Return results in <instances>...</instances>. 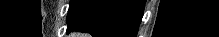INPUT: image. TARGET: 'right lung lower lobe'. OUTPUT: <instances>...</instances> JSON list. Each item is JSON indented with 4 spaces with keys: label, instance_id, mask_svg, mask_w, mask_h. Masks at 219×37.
I'll list each match as a JSON object with an SVG mask.
<instances>
[{
    "label": "right lung lower lobe",
    "instance_id": "1",
    "mask_svg": "<svg viewBox=\"0 0 219 37\" xmlns=\"http://www.w3.org/2000/svg\"><path fill=\"white\" fill-rule=\"evenodd\" d=\"M144 0H77L68 11V31L93 37H135Z\"/></svg>",
    "mask_w": 219,
    "mask_h": 37
}]
</instances>
